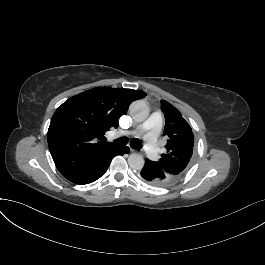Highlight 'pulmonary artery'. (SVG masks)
Returning a JSON list of instances; mask_svg holds the SVG:
<instances>
[{
    "mask_svg": "<svg viewBox=\"0 0 265 265\" xmlns=\"http://www.w3.org/2000/svg\"><path fill=\"white\" fill-rule=\"evenodd\" d=\"M162 113L159 110H154L151 113V118L149 121L142 124L141 128L133 126L131 129H125L123 132L118 130L115 136L118 139L130 140L133 135L140 136L142 133L145 134V138L142 142L141 149L143 152L148 153V157L152 161L160 163L163 160L162 154L156 148L157 143L155 136L161 132L159 125L161 123Z\"/></svg>",
    "mask_w": 265,
    "mask_h": 265,
    "instance_id": "1",
    "label": "pulmonary artery"
}]
</instances>
